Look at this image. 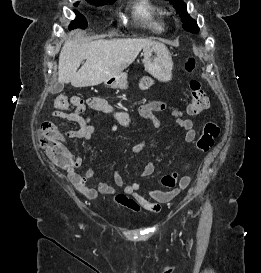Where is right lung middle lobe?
Masks as SVG:
<instances>
[{
	"label": "right lung middle lobe",
	"instance_id": "1",
	"mask_svg": "<svg viewBox=\"0 0 261 273\" xmlns=\"http://www.w3.org/2000/svg\"><path fill=\"white\" fill-rule=\"evenodd\" d=\"M90 3H106L105 1L102 0H88ZM114 1H110V3L112 4ZM77 4H75L76 6ZM76 13V19L70 24L69 28L73 29L76 27H86L87 26V21L85 20V18L83 17V15H81L80 13H78L77 11H75Z\"/></svg>",
	"mask_w": 261,
	"mask_h": 273
}]
</instances>
